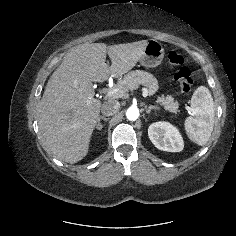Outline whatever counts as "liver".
Instances as JSON below:
<instances>
[{
	"label": "liver",
	"mask_w": 236,
	"mask_h": 236,
	"mask_svg": "<svg viewBox=\"0 0 236 236\" xmlns=\"http://www.w3.org/2000/svg\"><path fill=\"white\" fill-rule=\"evenodd\" d=\"M147 43H85L66 54L39 102L44 143L59 159L74 164L87 155L101 108V101L94 98L93 82L127 73L140 60ZM106 54L111 66L105 63Z\"/></svg>",
	"instance_id": "1"
}]
</instances>
